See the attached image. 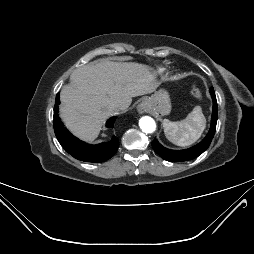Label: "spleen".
<instances>
[{"label":"spleen","instance_id":"obj_1","mask_svg":"<svg viewBox=\"0 0 254 254\" xmlns=\"http://www.w3.org/2000/svg\"><path fill=\"white\" fill-rule=\"evenodd\" d=\"M166 138L173 144L187 147L196 142L206 127V119L200 106L194 107L184 120L162 122Z\"/></svg>","mask_w":254,"mask_h":254}]
</instances>
